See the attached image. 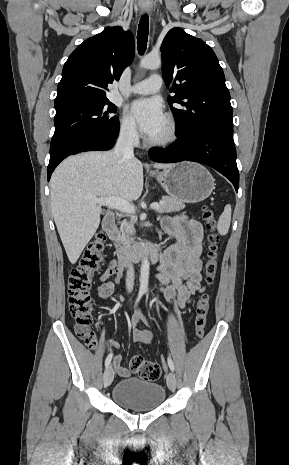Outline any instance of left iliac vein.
Returning a JSON list of instances; mask_svg holds the SVG:
<instances>
[{
    "label": "left iliac vein",
    "mask_w": 289,
    "mask_h": 465,
    "mask_svg": "<svg viewBox=\"0 0 289 465\" xmlns=\"http://www.w3.org/2000/svg\"><path fill=\"white\" fill-rule=\"evenodd\" d=\"M167 386L171 391H174L176 388V377L173 372H169L166 376Z\"/></svg>",
    "instance_id": "1"
}]
</instances>
